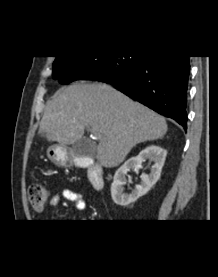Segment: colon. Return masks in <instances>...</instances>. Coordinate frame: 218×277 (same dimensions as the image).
Returning a JSON list of instances; mask_svg holds the SVG:
<instances>
[{
	"instance_id": "colon-1",
	"label": "colon",
	"mask_w": 218,
	"mask_h": 277,
	"mask_svg": "<svg viewBox=\"0 0 218 277\" xmlns=\"http://www.w3.org/2000/svg\"><path fill=\"white\" fill-rule=\"evenodd\" d=\"M28 197L32 207L37 211H42L51 198V191L43 184H31Z\"/></svg>"
}]
</instances>
